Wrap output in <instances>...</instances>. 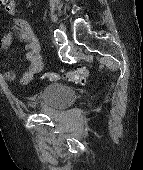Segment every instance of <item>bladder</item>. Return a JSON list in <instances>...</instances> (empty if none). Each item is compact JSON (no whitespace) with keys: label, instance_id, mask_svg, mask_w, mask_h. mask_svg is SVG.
Wrapping results in <instances>:
<instances>
[{"label":"bladder","instance_id":"31cf9c89","mask_svg":"<svg viewBox=\"0 0 143 170\" xmlns=\"http://www.w3.org/2000/svg\"><path fill=\"white\" fill-rule=\"evenodd\" d=\"M76 101L74 89L62 84L46 85L37 100V106L46 111H61Z\"/></svg>","mask_w":143,"mask_h":170}]
</instances>
